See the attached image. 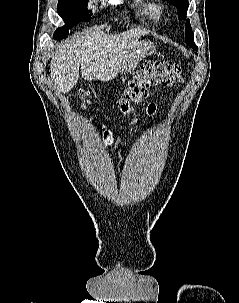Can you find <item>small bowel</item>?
Segmentation results:
<instances>
[{
	"mask_svg": "<svg viewBox=\"0 0 239 303\" xmlns=\"http://www.w3.org/2000/svg\"><path fill=\"white\" fill-rule=\"evenodd\" d=\"M148 116H153L156 112V105L154 103H150L146 109ZM137 119H132L130 121V124H136ZM104 143L107 148H109L111 151H115L118 149V147L121 145L122 140L120 137H115L110 133L105 134L104 137Z\"/></svg>",
	"mask_w": 239,
	"mask_h": 303,
	"instance_id": "obj_1",
	"label": "small bowel"
}]
</instances>
